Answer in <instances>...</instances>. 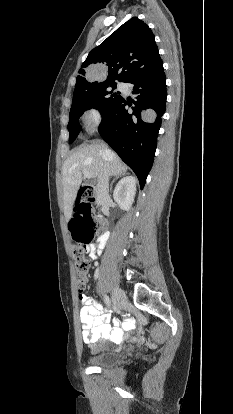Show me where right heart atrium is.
I'll list each match as a JSON object with an SVG mask.
<instances>
[{
  "label": "right heart atrium",
  "instance_id": "right-heart-atrium-1",
  "mask_svg": "<svg viewBox=\"0 0 233 414\" xmlns=\"http://www.w3.org/2000/svg\"><path fill=\"white\" fill-rule=\"evenodd\" d=\"M101 112L96 107L88 108L83 114V121L89 129L95 128L101 121Z\"/></svg>",
  "mask_w": 233,
  "mask_h": 414
}]
</instances>
